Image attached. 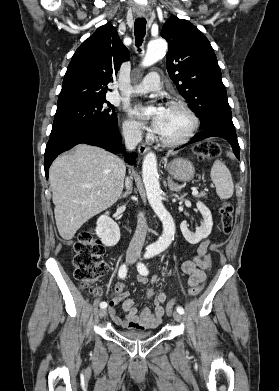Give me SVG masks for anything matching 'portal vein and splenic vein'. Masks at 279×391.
<instances>
[{
    "instance_id": "obj_1",
    "label": "portal vein and splenic vein",
    "mask_w": 279,
    "mask_h": 391,
    "mask_svg": "<svg viewBox=\"0 0 279 391\" xmlns=\"http://www.w3.org/2000/svg\"><path fill=\"white\" fill-rule=\"evenodd\" d=\"M197 194H198V190L194 189L192 195H197Z\"/></svg>"
}]
</instances>
